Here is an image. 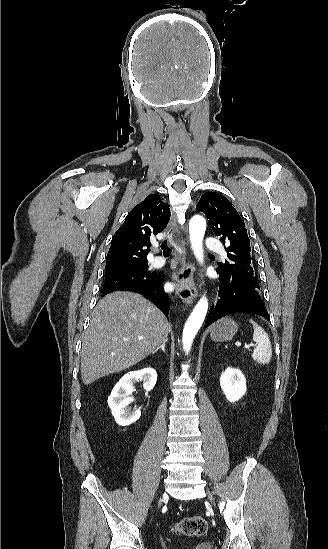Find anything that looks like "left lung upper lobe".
<instances>
[{
  "label": "left lung upper lobe",
  "mask_w": 328,
  "mask_h": 549,
  "mask_svg": "<svg viewBox=\"0 0 328 549\" xmlns=\"http://www.w3.org/2000/svg\"><path fill=\"white\" fill-rule=\"evenodd\" d=\"M196 209L206 214L216 236L226 247L224 263H218L217 271L225 277H236L258 281L252 267L250 240L244 221L232 203L215 192H205Z\"/></svg>",
  "instance_id": "5c2ea615"
}]
</instances>
